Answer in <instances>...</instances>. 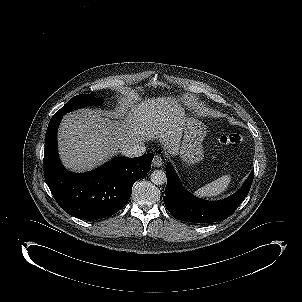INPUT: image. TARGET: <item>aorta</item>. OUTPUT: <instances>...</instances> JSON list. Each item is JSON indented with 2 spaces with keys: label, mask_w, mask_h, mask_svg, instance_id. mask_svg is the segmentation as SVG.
<instances>
[{
  "label": "aorta",
  "mask_w": 302,
  "mask_h": 302,
  "mask_svg": "<svg viewBox=\"0 0 302 302\" xmlns=\"http://www.w3.org/2000/svg\"><path fill=\"white\" fill-rule=\"evenodd\" d=\"M150 178L151 182L155 185H163L167 181L166 173L163 170H154Z\"/></svg>",
  "instance_id": "1"
}]
</instances>
